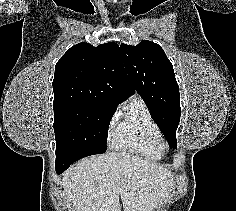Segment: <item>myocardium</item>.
Listing matches in <instances>:
<instances>
[{"label":"myocardium","instance_id":"1","mask_svg":"<svg viewBox=\"0 0 236 211\" xmlns=\"http://www.w3.org/2000/svg\"><path fill=\"white\" fill-rule=\"evenodd\" d=\"M155 146L159 149V151L163 154L167 151L168 146L167 143L165 142V140H163L162 138H160L156 143Z\"/></svg>","mask_w":236,"mask_h":211}]
</instances>
